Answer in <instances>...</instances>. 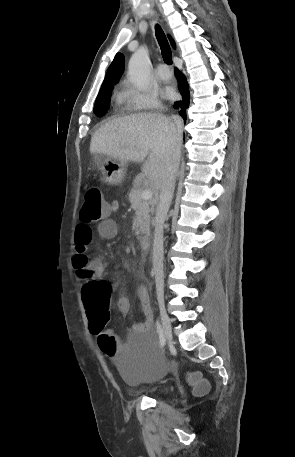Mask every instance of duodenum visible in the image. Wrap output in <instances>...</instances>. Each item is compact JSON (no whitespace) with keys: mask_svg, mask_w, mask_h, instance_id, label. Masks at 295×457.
Returning <instances> with one entry per match:
<instances>
[{"mask_svg":"<svg viewBox=\"0 0 295 457\" xmlns=\"http://www.w3.org/2000/svg\"><path fill=\"white\" fill-rule=\"evenodd\" d=\"M150 243H151L150 237L145 236L140 239V248L144 254L148 252V250L150 248Z\"/></svg>","mask_w":295,"mask_h":457,"instance_id":"410a0bca","label":"duodenum"}]
</instances>
